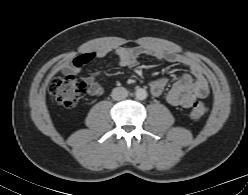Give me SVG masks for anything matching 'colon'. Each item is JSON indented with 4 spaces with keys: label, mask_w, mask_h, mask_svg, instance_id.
<instances>
[{
    "label": "colon",
    "mask_w": 248,
    "mask_h": 195,
    "mask_svg": "<svg viewBox=\"0 0 248 195\" xmlns=\"http://www.w3.org/2000/svg\"><path fill=\"white\" fill-rule=\"evenodd\" d=\"M49 92L58 105L64 108L74 107L85 92V83L68 74L54 78L49 86ZM205 102L198 100L192 105L190 115L193 119H200L207 113Z\"/></svg>",
    "instance_id": "1"
}]
</instances>
